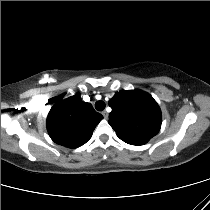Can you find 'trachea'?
Returning <instances> with one entry per match:
<instances>
[{"label": "trachea", "instance_id": "obj_1", "mask_svg": "<svg viewBox=\"0 0 210 210\" xmlns=\"http://www.w3.org/2000/svg\"><path fill=\"white\" fill-rule=\"evenodd\" d=\"M95 108L98 111H103L105 109V103L103 101H97L95 103Z\"/></svg>", "mask_w": 210, "mask_h": 210}]
</instances>
